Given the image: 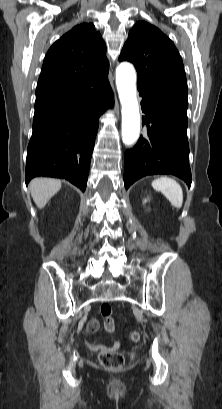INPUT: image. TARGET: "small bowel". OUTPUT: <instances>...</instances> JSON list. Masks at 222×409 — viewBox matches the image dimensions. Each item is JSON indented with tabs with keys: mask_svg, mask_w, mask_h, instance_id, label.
<instances>
[{
	"mask_svg": "<svg viewBox=\"0 0 222 409\" xmlns=\"http://www.w3.org/2000/svg\"><path fill=\"white\" fill-rule=\"evenodd\" d=\"M98 329H99V322H98L97 320H94V319H93V320H90L89 323H88V325H87V331H88L89 333H95V332L98 331ZM118 346H119V344H118V342H116V341H114V342L111 344V346H109V347L104 346V345L99 344V343L94 342V341H91V342L88 343V347L91 348V349H93V350H98V349H102V350H105V349H115V348H118Z\"/></svg>",
	"mask_w": 222,
	"mask_h": 409,
	"instance_id": "1",
	"label": "small bowel"
}]
</instances>
